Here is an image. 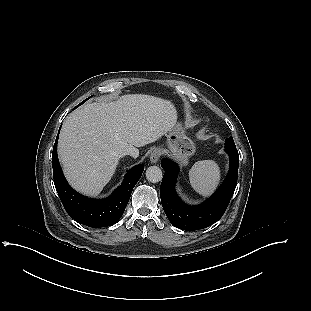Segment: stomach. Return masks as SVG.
<instances>
[{
	"mask_svg": "<svg viewBox=\"0 0 311 311\" xmlns=\"http://www.w3.org/2000/svg\"><path fill=\"white\" fill-rule=\"evenodd\" d=\"M167 149L183 166L188 164L189 157L193 155L194 143L186 136L184 128L180 124L176 125L173 132L167 135Z\"/></svg>",
	"mask_w": 311,
	"mask_h": 311,
	"instance_id": "0dacf381",
	"label": "stomach"
}]
</instances>
